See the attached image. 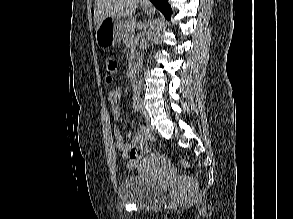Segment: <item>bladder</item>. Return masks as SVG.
<instances>
[{
	"mask_svg": "<svg viewBox=\"0 0 293 219\" xmlns=\"http://www.w3.org/2000/svg\"><path fill=\"white\" fill-rule=\"evenodd\" d=\"M165 197V188L140 176L125 178L118 188V198L121 202L146 209L158 207Z\"/></svg>",
	"mask_w": 293,
	"mask_h": 219,
	"instance_id": "1",
	"label": "bladder"
}]
</instances>
